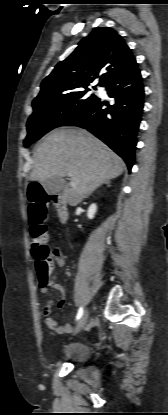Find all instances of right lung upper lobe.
Instances as JSON below:
<instances>
[{
  "label": "right lung upper lobe",
  "mask_w": 168,
  "mask_h": 415,
  "mask_svg": "<svg viewBox=\"0 0 168 415\" xmlns=\"http://www.w3.org/2000/svg\"><path fill=\"white\" fill-rule=\"evenodd\" d=\"M135 64L131 50L116 31L96 28L42 81L41 91L32 105L88 89L98 77V85L103 87Z\"/></svg>",
  "instance_id": "obj_1"
}]
</instances>
